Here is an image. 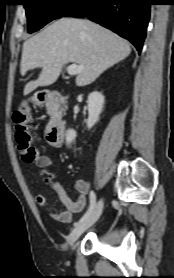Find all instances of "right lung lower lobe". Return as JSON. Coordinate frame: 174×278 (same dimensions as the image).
<instances>
[{"label": "right lung lower lobe", "instance_id": "1", "mask_svg": "<svg viewBox=\"0 0 174 278\" xmlns=\"http://www.w3.org/2000/svg\"><path fill=\"white\" fill-rule=\"evenodd\" d=\"M150 6V0H78L64 16L87 17L129 40L140 53Z\"/></svg>", "mask_w": 174, "mask_h": 278}]
</instances>
